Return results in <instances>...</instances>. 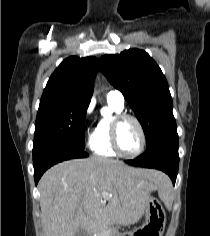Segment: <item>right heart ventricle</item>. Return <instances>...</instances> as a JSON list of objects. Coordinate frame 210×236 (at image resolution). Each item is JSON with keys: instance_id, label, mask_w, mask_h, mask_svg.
I'll return each instance as SVG.
<instances>
[{"instance_id": "1", "label": "right heart ventricle", "mask_w": 210, "mask_h": 236, "mask_svg": "<svg viewBox=\"0 0 210 236\" xmlns=\"http://www.w3.org/2000/svg\"><path fill=\"white\" fill-rule=\"evenodd\" d=\"M112 114L103 115L97 122L95 130L90 137L89 147L91 151L102 157H115L117 154L111 145V123L113 117L121 113L123 107H119L112 102H108Z\"/></svg>"}]
</instances>
